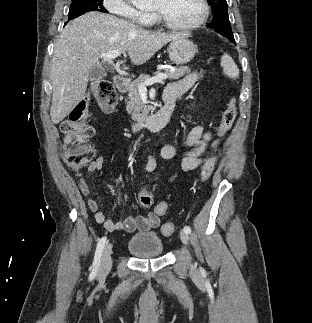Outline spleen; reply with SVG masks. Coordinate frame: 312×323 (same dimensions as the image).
Returning a JSON list of instances; mask_svg holds the SVG:
<instances>
[{
  "mask_svg": "<svg viewBox=\"0 0 312 323\" xmlns=\"http://www.w3.org/2000/svg\"><path fill=\"white\" fill-rule=\"evenodd\" d=\"M220 66L223 68L225 76H229L231 80L238 78L239 70L229 54H223Z\"/></svg>",
  "mask_w": 312,
  "mask_h": 323,
  "instance_id": "obj_1",
  "label": "spleen"
}]
</instances>
